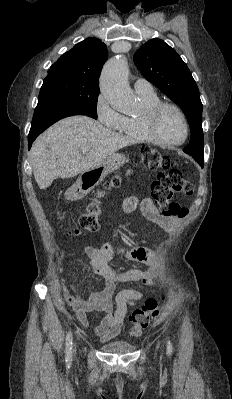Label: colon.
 <instances>
[{
  "label": "colon",
  "mask_w": 232,
  "mask_h": 399,
  "mask_svg": "<svg viewBox=\"0 0 232 399\" xmlns=\"http://www.w3.org/2000/svg\"><path fill=\"white\" fill-rule=\"evenodd\" d=\"M140 165H147L149 168H158L159 172L167 171V163L162 160L158 153H147ZM168 168H173V163H168ZM170 175H154L156 185L151 186L153 194L159 196H190L193 193V186H189V181L183 180V175L180 170H170ZM124 180H110V185H124ZM170 198H155V203H162L161 212L165 214V218H185V209L182 208V203H170ZM101 207V202L98 198H91L85 205V213L79 221V226L88 232H97L99 222L96 218ZM70 236H81V231H70ZM148 301H163V296H148ZM147 311H137L132 313L131 318L133 322L132 334L134 338H141L145 334V330L150 326L156 318L160 315V310L154 303H147Z\"/></svg>",
  "instance_id": "1"
}]
</instances>
